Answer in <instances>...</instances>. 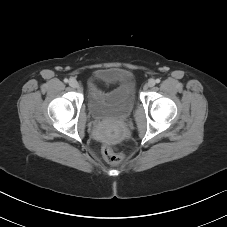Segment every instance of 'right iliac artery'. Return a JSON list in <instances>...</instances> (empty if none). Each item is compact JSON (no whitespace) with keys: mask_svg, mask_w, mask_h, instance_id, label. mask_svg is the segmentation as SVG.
Segmentation results:
<instances>
[{"mask_svg":"<svg viewBox=\"0 0 227 227\" xmlns=\"http://www.w3.org/2000/svg\"><path fill=\"white\" fill-rule=\"evenodd\" d=\"M64 82H65V83H68V79H67V78H65V79H64Z\"/></svg>","mask_w":227,"mask_h":227,"instance_id":"right-iliac-artery-1","label":"right iliac artery"}]
</instances>
